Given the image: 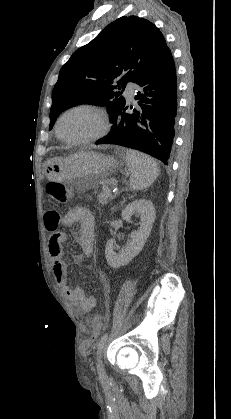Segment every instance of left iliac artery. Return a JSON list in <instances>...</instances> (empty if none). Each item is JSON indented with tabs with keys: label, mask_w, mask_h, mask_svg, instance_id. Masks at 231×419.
<instances>
[{
	"label": "left iliac artery",
	"mask_w": 231,
	"mask_h": 419,
	"mask_svg": "<svg viewBox=\"0 0 231 419\" xmlns=\"http://www.w3.org/2000/svg\"><path fill=\"white\" fill-rule=\"evenodd\" d=\"M107 337H108V333H105L102 337H101V339L99 340V343H98V350H97V352L99 353L102 349H103V346H104V344H105V342H106V340H107Z\"/></svg>",
	"instance_id": "44dca946"
}]
</instances>
